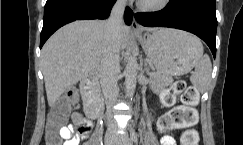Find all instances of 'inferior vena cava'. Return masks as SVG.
<instances>
[{"label": "inferior vena cava", "instance_id": "602c4592", "mask_svg": "<svg viewBox=\"0 0 243 145\" xmlns=\"http://www.w3.org/2000/svg\"><path fill=\"white\" fill-rule=\"evenodd\" d=\"M125 2V0H118L112 8L109 19L106 21V45L101 61L100 83L109 116L111 115L112 106L118 97L117 80L120 71L119 33L123 25Z\"/></svg>", "mask_w": 243, "mask_h": 145}]
</instances>
